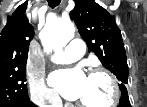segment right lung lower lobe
I'll return each mask as SVG.
<instances>
[{
    "instance_id": "right-lung-lower-lobe-1",
    "label": "right lung lower lobe",
    "mask_w": 147,
    "mask_h": 107,
    "mask_svg": "<svg viewBox=\"0 0 147 107\" xmlns=\"http://www.w3.org/2000/svg\"><path fill=\"white\" fill-rule=\"evenodd\" d=\"M11 107H36L31 101H21L16 104H13Z\"/></svg>"
}]
</instances>
